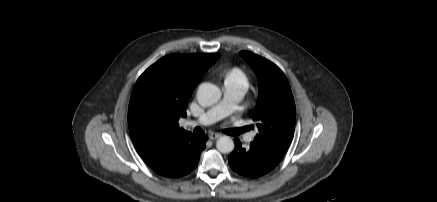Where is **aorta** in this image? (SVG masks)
<instances>
[{"mask_svg":"<svg viewBox=\"0 0 437 202\" xmlns=\"http://www.w3.org/2000/svg\"><path fill=\"white\" fill-rule=\"evenodd\" d=\"M221 95V90L212 83L205 82L198 87L197 99L202 106H210L217 103ZM234 147V141L228 136H222L216 142V148L221 153H230L234 150Z\"/></svg>","mask_w":437,"mask_h":202,"instance_id":"obj_1","label":"aorta"}]
</instances>
